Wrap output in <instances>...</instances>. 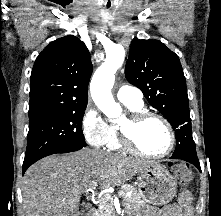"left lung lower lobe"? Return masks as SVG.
<instances>
[{"label":"left lung lower lobe","instance_id":"0a47b994","mask_svg":"<svg viewBox=\"0 0 221 216\" xmlns=\"http://www.w3.org/2000/svg\"><path fill=\"white\" fill-rule=\"evenodd\" d=\"M171 159H181L195 165L200 171V164L197 158V154L193 148L183 144H176V149L171 156Z\"/></svg>","mask_w":221,"mask_h":216}]
</instances>
